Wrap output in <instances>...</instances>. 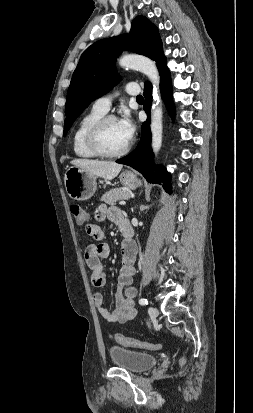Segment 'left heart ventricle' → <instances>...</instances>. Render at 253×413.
<instances>
[{"label": "left heart ventricle", "instance_id": "b2bd125f", "mask_svg": "<svg viewBox=\"0 0 253 413\" xmlns=\"http://www.w3.org/2000/svg\"><path fill=\"white\" fill-rule=\"evenodd\" d=\"M100 141L102 147L109 152L119 151L128 143L119 130L116 120L105 124L100 134Z\"/></svg>", "mask_w": 253, "mask_h": 413}]
</instances>
